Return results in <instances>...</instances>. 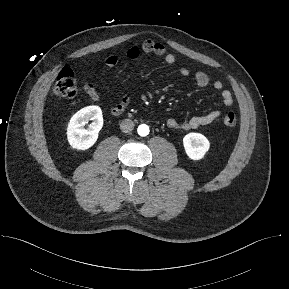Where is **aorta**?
I'll return each mask as SVG.
<instances>
[{
	"instance_id": "1",
	"label": "aorta",
	"mask_w": 289,
	"mask_h": 289,
	"mask_svg": "<svg viewBox=\"0 0 289 289\" xmlns=\"http://www.w3.org/2000/svg\"><path fill=\"white\" fill-rule=\"evenodd\" d=\"M137 131L140 136H147L149 134V127L146 124H141Z\"/></svg>"
}]
</instances>
